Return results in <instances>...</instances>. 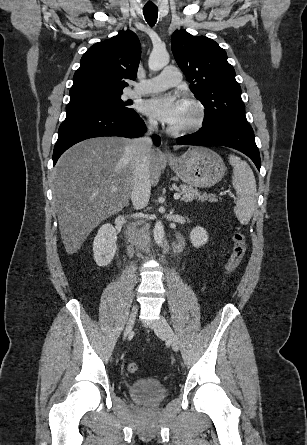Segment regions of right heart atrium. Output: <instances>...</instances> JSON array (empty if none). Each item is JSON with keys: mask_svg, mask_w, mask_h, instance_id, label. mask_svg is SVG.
I'll use <instances>...</instances> for the list:
<instances>
[{"mask_svg": "<svg viewBox=\"0 0 307 445\" xmlns=\"http://www.w3.org/2000/svg\"><path fill=\"white\" fill-rule=\"evenodd\" d=\"M156 119L153 117V116H150L149 118H148V125L150 126V127H155L156 126Z\"/></svg>", "mask_w": 307, "mask_h": 445, "instance_id": "obj_1", "label": "right heart atrium"}]
</instances>
